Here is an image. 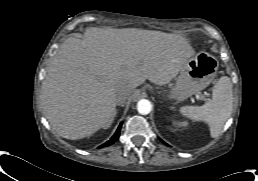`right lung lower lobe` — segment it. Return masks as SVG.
I'll return each mask as SVG.
<instances>
[{
    "mask_svg": "<svg viewBox=\"0 0 258 181\" xmlns=\"http://www.w3.org/2000/svg\"><path fill=\"white\" fill-rule=\"evenodd\" d=\"M121 126H122V124L119 125V127H118L116 133L113 135V137L100 147H106V146L112 145L119 138Z\"/></svg>",
    "mask_w": 258,
    "mask_h": 181,
    "instance_id": "right-lung-lower-lobe-1",
    "label": "right lung lower lobe"
}]
</instances>
